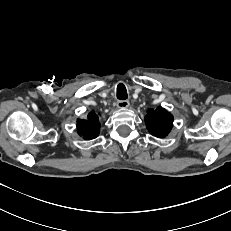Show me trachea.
<instances>
[{"mask_svg": "<svg viewBox=\"0 0 231 231\" xmlns=\"http://www.w3.org/2000/svg\"><path fill=\"white\" fill-rule=\"evenodd\" d=\"M128 94H127V90L124 84L120 83L117 86V98L120 100H125L127 99Z\"/></svg>", "mask_w": 231, "mask_h": 231, "instance_id": "obj_1", "label": "trachea"}]
</instances>
